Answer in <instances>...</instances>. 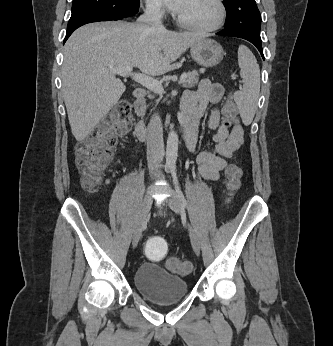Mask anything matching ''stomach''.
Listing matches in <instances>:
<instances>
[{
    "instance_id": "obj_1",
    "label": "stomach",
    "mask_w": 333,
    "mask_h": 346,
    "mask_svg": "<svg viewBox=\"0 0 333 346\" xmlns=\"http://www.w3.org/2000/svg\"><path fill=\"white\" fill-rule=\"evenodd\" d=\"M193 60L203 67H213L219 64L224 56L222 46L216 41L203 38L190 48Z\"/></svg>"
}]
</instances>
